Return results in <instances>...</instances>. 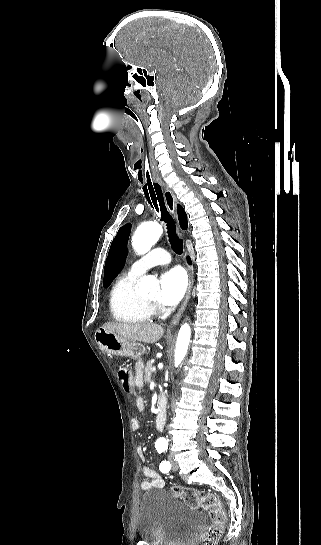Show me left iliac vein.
Wrapping results in <instances>:
<instances>
[{"mask_svg": "<svg viewBox=\"0 0 321 545\" xmlns=\"http://www.w3.org/2000/svg\"><path fill=\"white\" fill-rule=\"evenodd\" d=\"M170 463H171V469L173 471H177L178 470V463L173 459V457L171 455H169L168 457Z\"/></svg>", "mask_w": 321, "mask_h": 545, "instance_id": "obj_1", "label": "left iliac vein"}]
</instances>
